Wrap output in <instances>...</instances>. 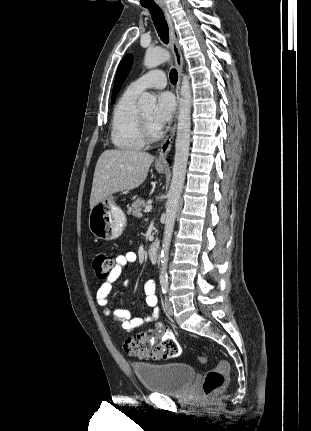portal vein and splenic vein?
<instances>
[{"instance_id":"portal-vein-and-splenic-vein-1","label":"portal vein and splenic vein","mask_w":311,"mask_h":431,"mask_svg":"<svg viewBox=\"0 0 311 431\" xmlns=\"http://www.w3.org/2000/svg\"><path fill=\"white\" fill-rule=\"evenodd\" d=\"M153 206H145L144 212H151Z\"/></svg>"}]
</instances>
